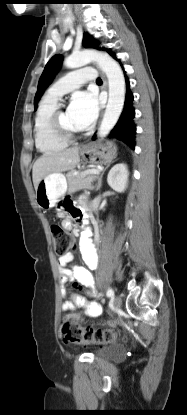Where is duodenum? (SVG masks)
Returning <instances> with one entry per match:
<instances>
[{
	"label": "duodenum",
	"instance_id": "duodenum-1",
	"mask_svg": "<svg viewBox=\"0 0 187 415\" xmlns=\"http://www.w3.org/2000/svg\"><path fill=\"white\" fill-rule=\"evenodd\" d=\"M77 222H78L79 226H83L85 224V222H86V219L85 218H81Z\"/></svg>",
	"mask_w": 187,
	"mask_h": 415
}]
</instances>
